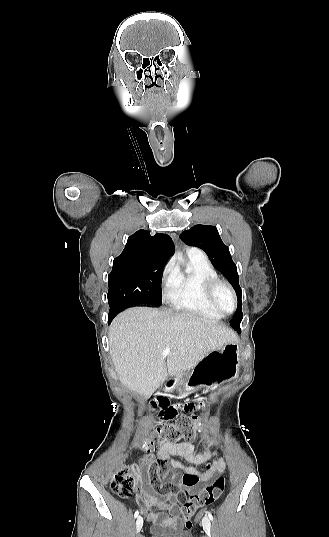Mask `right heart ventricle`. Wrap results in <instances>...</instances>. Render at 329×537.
Wrapping results in <instances>:
<instances>
[{
    "mask_svg": "<svg viewBox=\"0 0 329 537\" xmlns=\"http://www.w3.org/2000/svg\"><path fill=\"white\" fill-rule=\"evenodd\" d=\"M215 278H218L217 273L206 256L189 253L184 268L176 269L174 286L167 294V299L177 311L222 318L223 315L209 304L206 297V284Z\"/></svg>",
    "mask_w": 329,
    "mask_h": 537,
    "instance_id": "1",
    "label": "right heart ventricle"
}]
</instances>
